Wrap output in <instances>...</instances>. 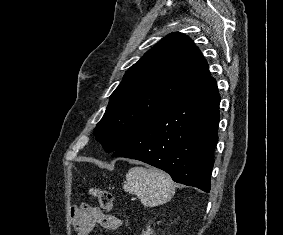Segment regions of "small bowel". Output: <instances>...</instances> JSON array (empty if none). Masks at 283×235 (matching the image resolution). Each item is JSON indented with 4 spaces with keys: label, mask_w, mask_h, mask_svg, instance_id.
I'll use <instances>...</instances> for the list:
<instances>
[{
    "label": "small bowel",
    "mask_w": 283,
    "mask_h": 235,
    "mask_svg": "<svg viewBox=\"0 0 283 235\" xmlns=\"http://www.w3.org/2000/svg\"><path fill=\"white\" fill-rule=\"evenodd\" d=\"M71 219L76 235H88L95 225H101L109 231L118 230L122 226L121 219L106 215L99 208L87 204L73 206Z\"/></svg>",
    "instance_id": "small-bowel-1"
}]
</instances>
